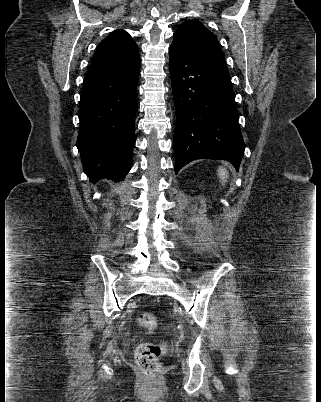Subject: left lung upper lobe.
<instances>
[{
  "mask_svg": "<svg viewBox=\"0 0 321 402\" xmlns=\"http://www.w3.org/2000/svg\"><path fill=\"white\" fill-rule=\"evenodd\" d=\"M172 44L192 54L225 62L217 38L200 21L181 24L174 33Z\"/></svg>",
  "mask_w": 321,
  "mask_h": 402,
  "instance_id": "1",
  "label": "left lung upper lobe"
}]
</instances>
